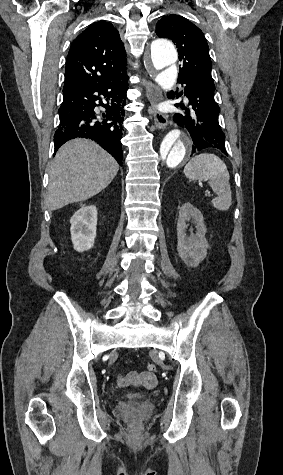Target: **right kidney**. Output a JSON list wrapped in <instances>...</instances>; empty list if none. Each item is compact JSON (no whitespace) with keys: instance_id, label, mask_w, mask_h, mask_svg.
<instances>
[{"instance_id":"1","label":"right kidney","mask_w":283,"mask_h":475,"mask_svg":"<svg viewBox=\"0 0 283 475\" xmlns=\"http://www.w3.org/2000/svg\"><path fill=\"white\" fill-rule=\"evenodd\" d=\"M71 239L76 251L91 249L96 238L97 208L82 206L70 220Z\"/></svg>"}]
</instances>
